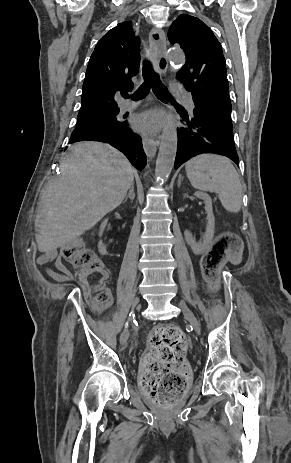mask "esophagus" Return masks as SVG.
Returning a JSON list of instances; mask_svg holds the SVG:
<instances>
[{"label": "esophagus", "instance_id": "34e87169", "mask_svg": "<svg viewBox=\"0 0 291 463\" xmlns=\"http://www.w3.org/2000/svg\"><path fill=\"white\" fill-rule=\"evenodd\" d=\"M149 43L153 51V60L157 70L164 73L168 67L166 57V37L162 29L153 28L149 33ZM144 151L149 159H152L157 151L159 140L149 137L142 139Z\"/></svg>", "mask_w": 291, "mask_h": 463}]
</instances>
